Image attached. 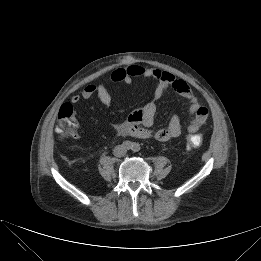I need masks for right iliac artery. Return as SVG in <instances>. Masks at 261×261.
I'll use <instances>...</instances> for the list:
<instances>
[{
	"mask_svg": "<svg viewBox=\"0 0 261 261\" xmlns=\"http://www.w3.org/2000/svg\"><path fill=\"white\" fill-rule=\"evenodd\" d=\"M122 145L124 148L130 149L133 144L130 141H124Z\"/></svg>",
	"mask_w": 261,
	"mask_h": 261,
	"instance_id": "obj_1",
	"label": "right iliac artery"
}]
</instances>
